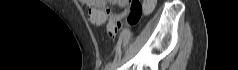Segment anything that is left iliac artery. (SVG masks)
I'll return each instance as SVG.
<instances>
[{
  "instance_id": "44dca946",
  "label": "left iliac artery",
  "mask_w": 238,
  "mask_h": 70,
  "mask_svg": "<svg viewBox=\"0 0 238 70\" xmlns=\"http://www.w3.org/2000/svg\"><path fill=\"white\" fill-rule=\"evenodd\" d=\"M113 67V63H108L105 67V70H110Z\"/></svg>"
}]
</instances>
